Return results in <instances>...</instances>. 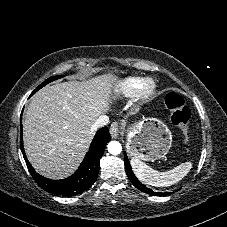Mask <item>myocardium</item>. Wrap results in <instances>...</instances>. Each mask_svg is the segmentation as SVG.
<instances>
[{"mask_svg":"<svg viewBox=\"0 0 227 227\" xmlns=\"http://www.w3.org/2000/svg\"><path fill=\"white\" fill-rule=\"evenodd\" d=\"M156 86L150 79L141 80L136 91V102L138 105H143L148 102L154 95Z\"/></svg>","mask_w":227,"mask_h":227,"instance_id":"myocardium-1","label":"myocardium"}]
</instances>
